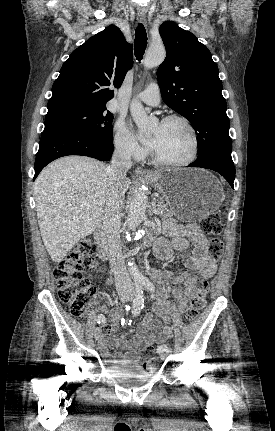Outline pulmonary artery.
Masks as SVG:
<instances>
[{
  "label": "pulmonary artery",
  "mask_w": 275,
  "mask_h": 431,
  "mask_svg": "<svg viewBox=\"0 0 275 431\" xmlns=\"http://www.w3.org/2000/svg\"><path fill=\"white\" fill-rule=\"evenodd\" d=\"M138 99L143 103L156 106L160 103V90L156 83L150 84L144 91L138 94Z\"/></svg>",
  "instance_id": "obj_1"
}]
</instances>
